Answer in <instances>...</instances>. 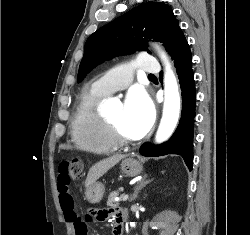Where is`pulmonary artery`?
<instances>
[{"label":"pulmonary artery","instance_id":"1","mask_svg":"<svg viewBox=\"0 0 250 235\" xmlns=\"http://www.w3.org/2000/svg\"><path fill=\"white\" fill-rule=\"evenodd\" d=\"M137 67L140 70L153 74L159 72L157 59L147 53H141L135 61L127 62L123 67L116 68L102 77L98 78L93 83V88L107 95L126 88L131 80L130 70Z\"/></svg>","mask_w":250,"mask_h":235}]
</instances>
